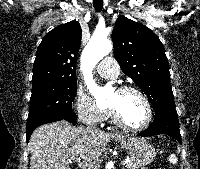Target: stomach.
Returning a JSON list of instances; mask_svg holds the SVG:
<instances>
[{"label": "stomach", "mask_w": 200, "mask_h": 169, "mask_svg": "<svg viewBox=\"0 0 200 169\" xmlns=\"http://www.w3.org/2000/svg\"><path fill=\"white\" fill-rule=\"evenodd\" d=\"M116 141L127 150L131 160L138 166L148 165L155 159V148L143 138L119 136Z\"/></svg>", "instance_id": "obj_1"}]
</instances>
